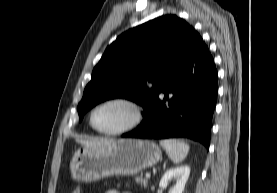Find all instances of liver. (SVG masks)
Instances as JSON below:
<instances>
[{
    "label": "liver",
    "mask_w": 277,
    "mask_h": 193,
    "mask_svg": "<svg viewBox=\"0 0 277 193\" xmlns=\"http://www.w3.org/2000/svg\"><path fill=\"white\" fill-rule=\"evenodd\" d=\"M77 142L85 147L100 148V147L110 144L113 141L108 140V139L94 138V139H87V140L86 139H77Z\"/></svg>",
    "instance_id": "1"
}]
</instances>
